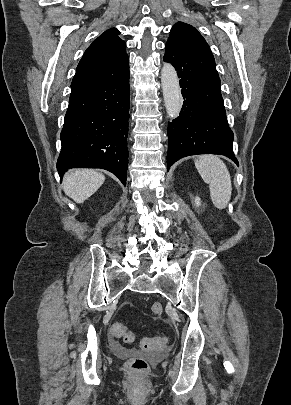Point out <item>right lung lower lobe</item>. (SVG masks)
<instances>
[{
  "instance_id": "1",
  "label": "right lung lower lobe",
  "mask_w": 291,
  "mask_h": 405,
  "mask_svg": "<svg viewBox=\"0 0 291 405\" xmlns=\"http://www.w3.org/2000/svg\"><path fill=\"white\" fill-rule=\"evenodd\" d=\"M130 73L69 99L57 170L102 168L126 185Z\"/></svg>"
}]
</instances>
